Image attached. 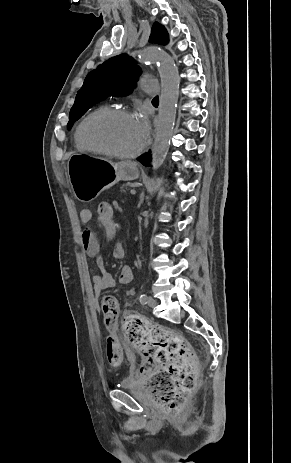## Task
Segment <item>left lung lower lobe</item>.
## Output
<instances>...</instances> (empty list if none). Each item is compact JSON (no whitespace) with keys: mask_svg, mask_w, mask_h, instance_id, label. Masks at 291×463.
<instances>
[{"mask_svg":"<svg viewBox=\"0 0 291 463\" xmlns=\"http://www.w3.org/2000/svg\"><path fill=\"white\" fill-rule=\"evenodd\" d=\"M139 160L141 161V163H142L144 166H149V165H150V160H151V155H150V153L144 154L143 156L140 157Z\"/></svg>","mask_w":291,"mask_h":463,"instance_id":"obj_1","label":"left lung lower lobe"}]
</instances>
